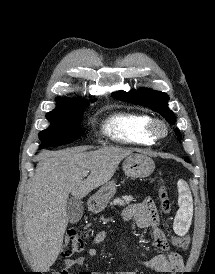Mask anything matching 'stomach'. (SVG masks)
<instances>
[{"instance_id": "1", "label": "stomach", "mask_w": 215, "mask_h": 274, "mask_svg": "<svg viewBox=\"0 0 215 274\" xmlns=\"http://www.w3.org/2000/svg\"><path fill=\"white\" fill-rule=\"evenodd\" d=\"M154 168L153 160L142 154L129 155L123 161V171L127 177H148L154 171ZM116 187L114 181L104 184L91 198V211L99 212L103 210L109 200L115 195Z\"/></svg>"}]
</instances>
